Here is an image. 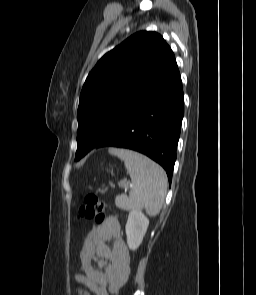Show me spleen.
I'll list each match as a JSON object with an SVG mask.
<instances>
[{
    "label": "spleen",
    "mask_w": 256,
    "mask_h": 295,
    "mask_svg": "<svg viewBox=\"0 0 256 295\" xmlns=\"http://www.w3.org/2000/svg\"><path fill=\"white\" fill-rule=\"evenodd\" d=\"M109 153L124 161L132 181L127 196H117L115 205L123 210L145 209L150 216L159 214L167 193V175L148 157L131 151L110 148Z\"/></svg>",
    "instance_id": "3e777b00"
}]
</instances>
